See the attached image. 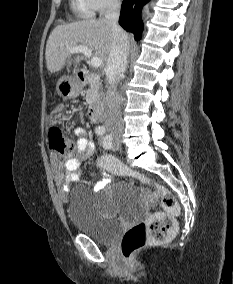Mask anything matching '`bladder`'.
Masks as SVG:
<instances>
[{
	"instance_id": "bladder-1",
	"label": "bladder",
	"mask_w": 233,
	"mask_h": 284,
	"mask_svg": "<svg viewBox=\"0 0 233 284\" xmlns=\"http://www.w3.org/2000/svg\"><path fill=\"white\" fill-rule=\"evenodd\" d=\"M137 198L138 191L134 185L128 181H118L102 194L101 204L131 206ZM67 216L77 231L101 244L111 243L122 227L118 218L104 215L97 200L82 187L70 191Z\"/></svg>"
}]
</instances>
